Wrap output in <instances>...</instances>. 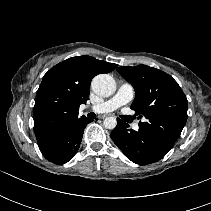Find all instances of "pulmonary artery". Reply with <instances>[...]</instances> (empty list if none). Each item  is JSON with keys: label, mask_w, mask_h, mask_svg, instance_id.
I'll list each match as a JSON object with an SVG mask.
<instances>
[{"label": "pulmonary artery", "mask_w": 211, "mask_h": 211, "mask_svg": "<svg viewBox=\"0 0 211 211\" xmlns=\"http://www.w3.org/2000/svg\"><path fill=\"white\" fill-rule=\"evenodd\" d=\"M134 88L130 83H123L120 85L119 89L117 90L116 94L111 97L110 99L90 107V110L95 113H107L112 112L129 103L134 97ZM135 130L139 129V125L135 124L133 127Z\"/></svg>", "instance_id": "1"}]
</instances>
